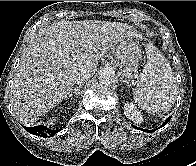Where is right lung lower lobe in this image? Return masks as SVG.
Returning <instances> with one entry per match:
<instances>
[{
  "instance_id": "1",
  "label": "right lung lower lobe",
  "mask_w": 196,
  "mask_h": 166,
  "mask_svg": "<svg viewBox=\"0 0 196 166\" xmlns=\"http://www.w3.org/2000/svg\"><path fill=\"white\" fill-rule=\"evenodd\" d=\"M25 129L34 135H38L41 136L43 138H50L53 137L57 132H59L61 129H56V130H51L49 128H47L46 126H35V127H25Z\"/></svg>"
}]
</instances>
